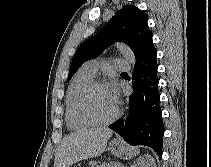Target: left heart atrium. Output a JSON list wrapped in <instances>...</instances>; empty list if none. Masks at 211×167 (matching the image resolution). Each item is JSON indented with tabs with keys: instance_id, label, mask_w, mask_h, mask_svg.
Returning <instances> with one entry per match:
<instances>
[{
	"instance_id": "39dd6f15",
	"label": "left heart atrium",
	"mask_w": 211,
	"mask_h": 167,
	"mask_svg": "<svg viewBox=\"0 0 211 167\" xmlns=\"http://www.w3.org/2000/svg\"><path fill=\"white\" fill-rule=\"evenodd\" d=\"M107 90H108V92H109L111 98L113 99V101H114L115 104H116V102H117V91H116L115 86H114V85H111V86H109V87L107 88Z\"/></svg>"
}]
</instances>
